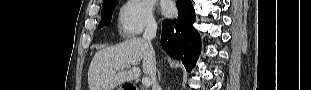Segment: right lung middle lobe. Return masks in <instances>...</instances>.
<instances>
[{
  "instance_id": "dd1d6c3e",
  "label": "right lung middle lobe",
  "mask_w": 311,
  "mask_h": 90,
  "mask_svg": "<svg viewBox=\"0 0 311 90\" xmlns=\"http://www.w3.org/2000/svg\"><path fill=\"white\" fill-rule=\"evenodd\" d=\"M117 4L116 0H111L105 4H102L101 21L99 23V28L108 26L112 19V13Z\"/></svg>"
}]
</instances>
